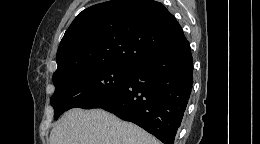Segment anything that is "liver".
Wrapping results in <instances>:
<instances>
[{
  "label": "liver",
  "instance_id": "obj_1",
  "mask_svg": "<svg viewBox=\"0 0 260 144\" xmlns=\"http://www.w3.org/2000/svg\"><path fill=\"white\" fill-rule=\"evenodd\" d=\"M50 144H160L133 123L102 109L74 108L62 116L50 132Z\"/></svg>",
  "mask_w": 260,
  "mask_h": 144
}]
</instances>
